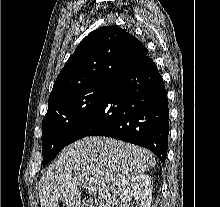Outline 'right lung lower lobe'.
Instances as JSON below:
<instances>
[{
    "mask_svg": "<svg viewBox=\"0 0 220 207\" xmlns=\"http://www.w3.org/2000/svg\"><path fill=\"white\" fill-rule=\"evenodd\" d=\"M169 109L163 79L148 55L111 78L92 113L70 137L107 136L150 149L165 162Z\"/></svg>",
    "mask_w": 220,
    "mask_h": 207,
    "instance_id": "1",
    "label": "right lung lower lobe"
}]
</instances>
